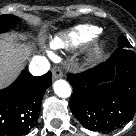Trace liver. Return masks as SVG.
<instances>
[{
  "label": "liver",
  "instance_id": "liver-1",
  "mask_svg": "<svg viewBox=\"0 0 136 136\" xmlns=\"http://www.w3.org/2000/svg\"><path fill=\"white\" fill-rule=\"evenodd\" d=\"M30 54V45L19 43L12 35L0 37V88L16 78L23 61Z\"/></svg>",
  "mask_w": 136,
  "mask_h": 136
}]
</instances>
